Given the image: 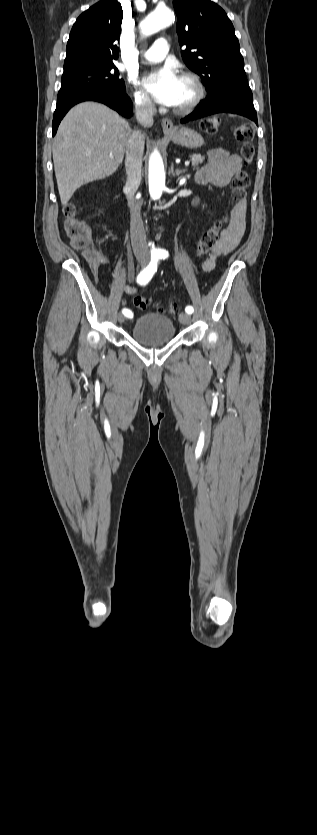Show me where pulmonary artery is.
<instances>
[{
  "label": "pulmonary artery",
  "mask_w": 317,
  "mask_h": 835,
  "mask_svg": "<svg viewBox=\"0 0 317 835\" xmlns=\"http://www.w3.org/2000/svg\"><path fill=\"white\" fill-rule=\"evenodd\" d=\"M169 51V44L165 38L157 39L154 44L142 56L149 62H158L164 59Z\"/></svg>",
  "instance_id": "pulmonary-artery-1"
}]
</instances>
